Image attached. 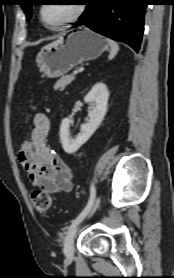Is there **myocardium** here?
Segmentation results:
<instances>
[{
	"label": "myocardium",
	"instance_id": "obj_1",
	"mask_svg": "<svg viewBox=\"0 0 174 278\" xmlns=\"http://www.w3.org/2000/svg\"><path fill=\"white\" fill-rule=\"evenodd\" d=\"M43 7H44V5H41L40 8H39V18H40V21L42 22V24L46 28H48L50 30H54V31L60 30V29H62L64 27L74 23L75 21H77L83 15V13H84V11L86 9V5L84 3H79V4H77L76 12L69 19H67L66 21L60 23L59 25L51 26V25H49L45 21V19L43 17Z\"/></svg>",
	"mask_w": 174,
	"mask_h": 278
}]
</instances>
